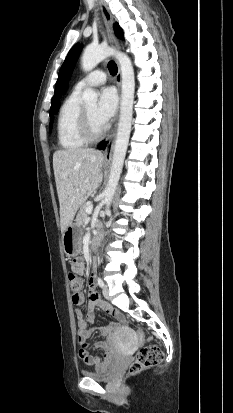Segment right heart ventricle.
<instances>
[{"instance_id": "obj_1", "label": "right heart ventricle", "mask_w": 233, "mask_h": 413, "mask_svg": "<svg viewBox=\"0 0 233 413\" xmlns=\"http://www.w3.org/2000/svg\"><path fill=\"white\" fill-rule=\"evenodd\" d=\"M81 91L74 89L64 100L57 119V138L59 146L67 151L84 147L85 141L79 130L82 105Z\"/></svg>"}]
</instances>
